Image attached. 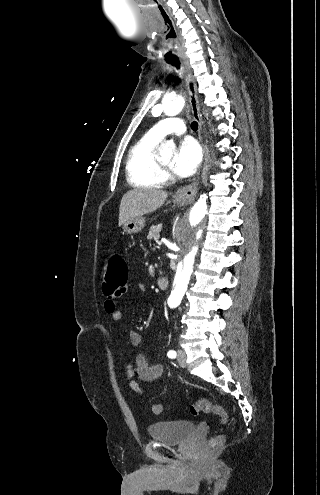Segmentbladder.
<instances>
[{
	"mask_svg": "<svg viewBox=\"0 0 320 495\" xmlns=\"http://www.w3.org/2000/svg\"><path fill=\"white\" fill-rule=\"evenodd\" d=\"M196 431V424L189 420L160 421L148 427L149 436L165 444H181L187 441Z\"/></svg>",
	"mask_w": 320,
	"mask_h": 495,
	"instance_id": "1",
	"label": "bladder"
}]
</instances>
